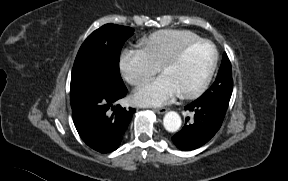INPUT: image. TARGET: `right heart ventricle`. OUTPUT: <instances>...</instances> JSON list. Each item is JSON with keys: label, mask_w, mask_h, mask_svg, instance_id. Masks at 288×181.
I'll return each mask as SVG.
<instances>
[{"label": "right heart ventricle", "mask_w": 288, "mask_h": 181, "mask_svg": "<svg viewBox=\"0 0 288 181\" xmlns=\"http://www.w3.org/2000/svg\"><path fill=\"white\" fill-rule=\"evenodd\" d=\"M200 39V37L188 30L166 29L152 33L140 42V47L149 61L159 66L184 45Z\"/></svg>", "instance_id": "e07e8e85"}]
</instances>
